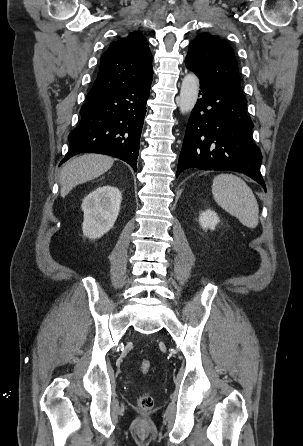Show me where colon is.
<instances>
[{"label":"colon","mask_w":303,"mask_h":446,"mask_svg":"<svg viewBox=\"0 0 303 446\" xmlns=\"http://www.w3.org/2000/svg\"><path fill=\"white\" fill-rule=\"evenodd\" d=\"M151 363L148 359H142L139 363V370L143 374H147L150 371ZM153 398L149 394H144L139 398V406L143 410H150L153 407Z\"/></svg>","instance_id":"obj_1"}]
</instances>
